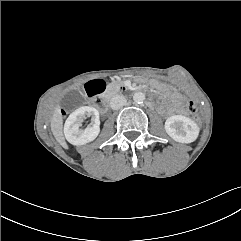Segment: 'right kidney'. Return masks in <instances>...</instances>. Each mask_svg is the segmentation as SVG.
<instances>
[{"label": "right kidney", "instance_id": "1", "mask_svg": "<svg viewBox=\"0 0 241 241\" xmlns=\"http://www.w3.org/2000/svg\"><path fill=\"white\" fill-rule=\"evenodd\" d=\"M92 116V122L80 129L85 116ZM100 132L99 111L90 106H83L69 115L64 125V135L67 141L73 145H83L93 141Z\"/></svg>", "mask_w": 241, "mask_h": 241}]
</instances>
